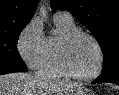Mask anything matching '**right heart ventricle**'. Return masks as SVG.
<instances>
[{
  "label": "right heart ventricle",
  "mask_w": 119,
  "mask_h": 95,
  "mask_svg": "<svg viewBox=\"0 0 119 95\" xmlns=\"http://www.w3.org/2000/svg\"><path fill=\"white\" fill-rule=\"evenodd\" d=\"M58 34L54 36H49L46 39V47L44 51V56L39 67V73L42 76L47 77H66L67 75L62 70L59 64L58 50L61 38L77 29L74 21L67 22L58 19H54Z\"/></svg>",
  "instance_id": "obj_1"
}]
</instances>
